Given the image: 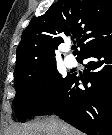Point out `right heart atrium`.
Wrapping results in <instances>:
<instances>
[{"instance_id": "1", "label": "right heart atrium", "mask_w": 112, "mask_h": 135, "mask_svg": "<svg viewBox=\"0 0 112 135\" xmlns=\"http://www.w3.org/2000/svg\"><path fill=\"white\" fill-rule=\"evenodd\" d=\"M35 93L37 95H42L45 91V85L44 83H39L36 85L35 89H34Z\"/></svg>"}]
</instances>
